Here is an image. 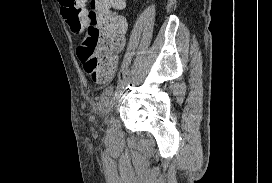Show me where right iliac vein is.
I'll list each match as a JSON object with an SVG mask.
<instances>
[{"label":"right iliac vein","instance_id":"1","mask_svg":"<svg viewBox=\"0 0 272 183\" xmlns=\"http://www.w3.org/2000/svg\"><path fill=\"white\" fill-rule=\"evenodd\" d=\"M111 104V97L107 96L106 98L102 99L100 106H99V113L101 117H105L107 114L109 107Z\"/></svg>","mask_w":272,"mask_h":183}]
</instances>
